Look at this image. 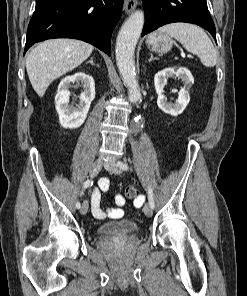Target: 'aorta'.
<instances>
[{
    "label": "aorta",
    "mask_w": 247,
    "mask_h": 296,
    "mask_svg": "<svg viewBox=\"0 0 247 296\" xmlns=\"http://www.w3.org/2000/svg\"><path fill=\"white\" fill-rule=\"evenodd\" d=\"M144 25V13L133 12L123 23L116 40V62L124 83L129 88V100L140 102L141 93L136 79L134 51Z\"/></svg>",
    "instance_id": "762f6f07"
}]
</instances>
